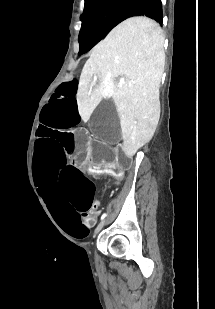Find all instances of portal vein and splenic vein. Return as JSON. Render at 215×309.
Instances as JSON below:
<instances>
[{"mask_svg":"<svg viewBox=\"0 0 215 309\" xmlns=\"http://www.w3.org/2000/svg\"><path fill=\"white\" fill-rule=\"evenodd\" d=\"M125 84V78H119L118 86H123Z\"/></svg>","mask_w":215,"mask_h":309,"instance_id":"portal-vein-and-splenic-vein-1","label":"portal vein and splenic vein"}]
</instances>
